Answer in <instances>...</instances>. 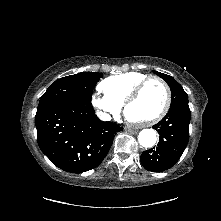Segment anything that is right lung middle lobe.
<instances>
[{"instance_id":"right-lung-middle-lobe-1","label":"right lung middle lobe","mask_w":221,"mask_h":221,"mask_svg":"<svg viewBox=\"0 0 221 221\" xmlns=\"http://www.w3.org/2000/svg\"><path fill=\"white\" fill-rule=\"evenodd\" d=\"M102 77L101 73L83 72L56 80L41 96L37 112L67 101L91 105L93 88Z\"/></svg>"}]
</instances>
